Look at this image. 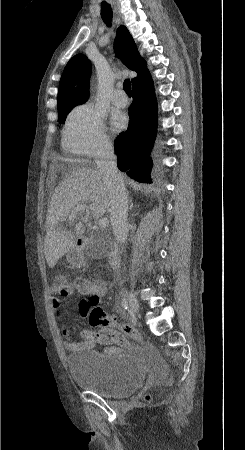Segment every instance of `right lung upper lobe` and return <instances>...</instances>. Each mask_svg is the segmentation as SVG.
I'll use <instances>...</instances> for the list:
<instances>
[{
	"label": "right lung upper lobe",
	"mask_w": 245,
	"mask_h": 450,
	"mask_svg": "<svg viewBox=\"0 0 245 450\" xmlns=\"http://www.w3.org/2000/svg\"><path fill=\"white\" fill-rule=\"evenodd\" d=\"M115 49L118 57L138 76L132 80L137 81L148 72L146 63L140 57L135 42L125 26H120L115 38ZM91 63L85 55L72 57L62 74L58 90V106L67 103H85L89 97V79Z\"/></svg>",
	"instance_id": "cb5924a9"
}]
</instances>
